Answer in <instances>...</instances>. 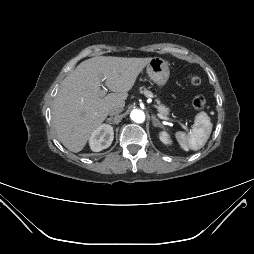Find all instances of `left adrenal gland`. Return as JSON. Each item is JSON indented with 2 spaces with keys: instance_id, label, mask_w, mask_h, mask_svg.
<instances>
[{
  "instance_id": "1",
  "label": "left adrenal gland",
  "mask_w": 254,
  "mask_h": 254,
  "mask_svg": "<svg viewBox=\"0 0 254 254\" xmlns=\"http://www.w3.org/2000/svg\"><path fill=\"white\" fill-rule=\"evenodd\" d=\"M152 120H153V126L154 127H160L163 128V125L160 123V121L158 120V118L155 115H152Z\"/></svg>"
}]
</instances>
